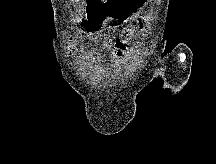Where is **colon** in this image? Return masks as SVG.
Masks as SVG:
<instances>
[{"mask_svg":"<svg viewBox=\"0 0 216 164\" xmlns=\"http://www.w3.org/2000/svg\"><path fill=\"white\" fill-rule=\"evenodd\" d=\"M72 50H73V51L76 50V45H75V44L72 45Z\"/></svg>","mask_w":216,"mask_h":164,"instance_id":"1","label":"colon"}]
</instances>
